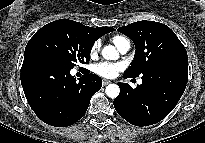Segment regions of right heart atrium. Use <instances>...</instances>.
<instances>
[{"mask_svg":"<svg viewBox=\"0 0 205 143\" xmlns=\"http://www.w3.org/2000/svg\"><path fill=\"white\" fill-rule=\"evenodd\" d=\"M99 49H100V41H95L90 48V54L92 56L96 55Z\"/></svg>","mask_w":205,"mask_h":143,"instance_id":"obj_1","label":"right heart atrium"}]
</instances>
